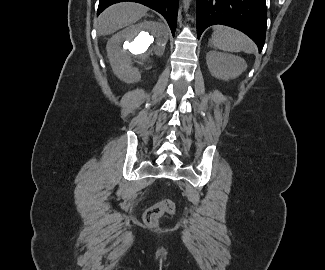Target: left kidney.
<instances>
[{
  "mask_svg": "<svg viewBox=\"0 0 325 270\" xmlns=\"http://www.w3.org/2000/svg\"><path fill=\"white\" fill-rule=\"evenodd\" d=\"M206 62L211 74L222 80L236 78L247 68L245 60L241 57L218 51H209L206 54Z\"/></svg>",
  "mask_w": 325,
  "mask_h": 270,
  "instance_id": "obj_1",
  "label": "left kidney"
}]
</instances>
